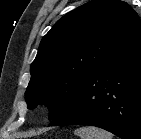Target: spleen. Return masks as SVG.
<instances>
[{
	"instance_id": "1",
	"label": "spleen",
	"mask_w": 141,
	"mask_h": 139,
	"mask_svg": "<svg viewBox=\"0 0 141 139\" xmlns=\"http://www.w3.org/2000/svg\"><path fill=\"white\" fill-rule=\"evenodd\" d=\"M80 139H112V134L94 126L81 127L75 130Z\"/></svg>"
}]
</instances>
